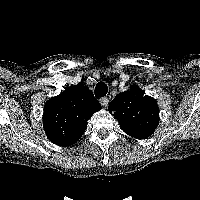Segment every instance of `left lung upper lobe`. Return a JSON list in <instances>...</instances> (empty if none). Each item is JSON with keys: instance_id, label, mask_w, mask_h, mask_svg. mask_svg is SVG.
<instances>
[{"instance_id": "5c2ea615", "label": "left lung upper lobe", "mask_w": 200, "mask_h": 200, "mask_svg": "<svg viewBox=\"0 0 200 200\" xmlns=\"http://www.w3.org/2000/svg\"><path fill=\"white\" fill-rule=\"evenodd\" d=\"M108 110L120 123L122 130L137 139H145L155 131L159 123V108L154 98L134 87L118 94Z\"/></svg>"}]
</instances>
